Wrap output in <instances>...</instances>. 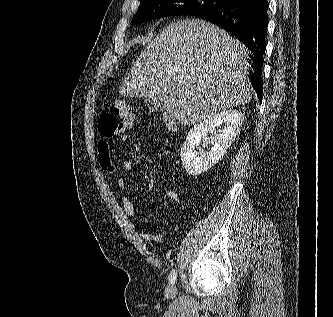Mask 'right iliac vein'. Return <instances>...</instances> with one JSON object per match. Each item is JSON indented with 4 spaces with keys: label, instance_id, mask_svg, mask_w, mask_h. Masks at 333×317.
Returning a JSON list of instances; mask_svg holds the SVG:
<instances>
[{
    "label": "right iliac vein",
    "instance_id": "63e3f726",
    "mask_svg": "<svg viewBox=\"0 0 333 317\" xmlns=\"http://www.w3.org/2000/svg\"><path fill=\"white\" fill-rule=\"evenodd\" d=\"M177 294V288L174 284H170L166 289V295L170 298L175 297Z\"/></svg>",
    "mask_w": 333,
    "mask_h": 317
}]
</instances>
